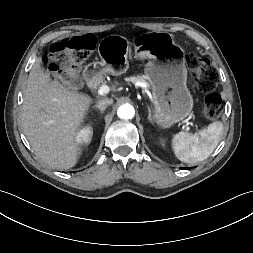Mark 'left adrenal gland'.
Returning <instances> with one entry per match:
<instances>
[{
    "label": "left adrenal gland",
    "instance_id": "left-adrenal-gland-1",
    "mask_svg": "<svg viewBox=\"0 0 253 253\" xmlns=\"http://www.w3.org/2000/svg\"><path fill=\"white\" fill-rule=\"evenodd\" d=\"M148 107V120L150 121V122H152L153 120H152V116H151V109H150V107L149 106H147Z\"/></svg>",
    "mask_w": 253,
    "mask_h": 253
}]
</instances>
